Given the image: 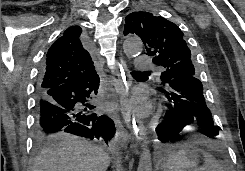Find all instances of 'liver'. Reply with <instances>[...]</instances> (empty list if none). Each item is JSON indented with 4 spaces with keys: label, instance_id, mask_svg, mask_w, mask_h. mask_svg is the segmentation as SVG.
I'll list each match as a JSON object with an SVG mask.
<instances>
[{
    "label": "liver",
    "instance_id": "obj_1",
    "mask_svg": "<svg viewBox=\"0 0 245 171\" xmlns=\"http://www.w3.org/2000/svg\"><path fill=\"white\" fill-rule=\"evenodd\" d=\"M110 157L103 148L64 132L52 136L33 161L31 171H106Z\"/></svg>",
    "mask_w": 245,
    "mask_h": 171
}]
</instances>
